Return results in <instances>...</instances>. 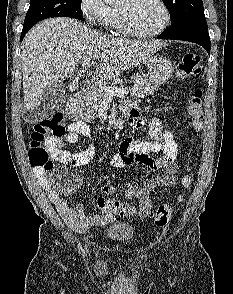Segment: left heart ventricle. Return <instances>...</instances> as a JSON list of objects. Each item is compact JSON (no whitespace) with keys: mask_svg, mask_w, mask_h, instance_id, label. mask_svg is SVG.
<instances>
[{"mask_svg":"<svg viewBox=\"0 0 233 294\" xmlns=\"http://www.w3.org/2000/svg\"><path fill=\"white\" fill-rule=\"evenodd\" d=\"M123 10L132 27L141 32H150L164 21L162 8L155 0H124L119 8Z\"/></svg>","mask_w":233,"mask_h":294,"instance_id":"obj_1","label":"left heart ventricle"}]
</instances>
